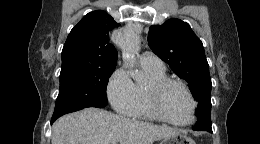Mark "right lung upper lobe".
<instances>
[{
  "label": "right lung upper lobe",
  "mask_w": 260,
  "mask_h": 144,
  "mask_svg": "<svg viewBox=\"0 0 260 144\" xmlns=\"http://www.w3.org/2000/svg\"><path fill=\"white\" fill-rule=\"evenodd\" d=\"M115 26L119 24L104 11L85 15L68 35L61 71L115 68L118 54L109 43V31Z\"/></svg>",
  "instance_id": "cb5924a9"
}]
</instances>
